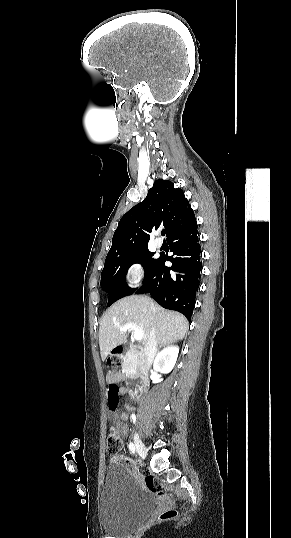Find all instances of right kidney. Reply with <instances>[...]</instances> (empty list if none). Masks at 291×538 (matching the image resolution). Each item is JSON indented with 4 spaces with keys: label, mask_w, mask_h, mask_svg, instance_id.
<instances>
[{
    "label": "right kidney",
    "mask_w": 291,
    "mask_h": 538,
    "mask_svg": "<svg viewBox=\"0 0 291 538\" xmlns=\"http://www.w3.org/2000/svg\"><path fill=\"white\" fill-rule=\"evenodd\" d=\"M179 348L176 345L164 348L156 357L153 368L161 373H169L177 360Z\"/></svg>",
    "instance_id": "1"
}]
</instances>
